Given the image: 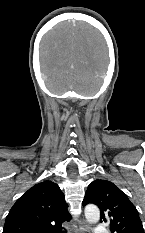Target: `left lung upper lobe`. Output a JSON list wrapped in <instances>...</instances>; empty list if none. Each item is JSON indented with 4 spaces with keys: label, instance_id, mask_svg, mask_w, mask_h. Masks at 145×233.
Returning a JSON list of instances; mask_svg holds the SVG:
<instances>
[{
    "label": "left lung upper lobe",
    "instance_id": "obj_1",
    "mask_svg": "<svg viewBox=\"0 0 145 233\" xmlns=\"http://www.w3.org/2000/svg\"><path fill=\"white\" fill-rule=\"evenodd\" d=\"M95 204L101 210V221L109 224L111 233H144L135 206L116 185L95 180L88 186L83 205Z\"/></svg>",
    "mask_w": 145,
    "mask_h": 233
}]
</instances>
